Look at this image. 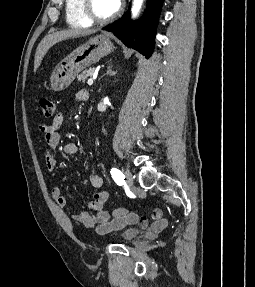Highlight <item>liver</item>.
<instances>
[{
    "instance_id": "6515ba94",
    "label": "liver",
    "mask_w": 255,
    "mask_h": 287,
    "mask_svg": "<svg viewBox=\"0 0 255 287\" xmlns=\"http://www.w3.org/2000/svg\"><path fill=\"white\" fill-rule=\"evenodd\" d=\"M97 30H63V32H54V34H48L40 44L37 46L35 58H34V72H37L41 62L47 54L49 48L57 44V42H63V40H69V38H80V36H90V34H95Z\"/></svg>"
}]
</instances>
